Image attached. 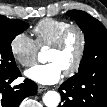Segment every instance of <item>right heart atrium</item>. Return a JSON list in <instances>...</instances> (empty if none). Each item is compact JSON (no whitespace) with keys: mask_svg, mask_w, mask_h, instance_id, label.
I'll use <instances>...</instances> for the list:
<instances>
[{"mask_svg":"<svg viewBox=\"0 0 107 107\" xmlns=\"http://www.w3.org/2000/svg\"><path fill=\"white\" fill-rule=\"evenodd\" d=\"M10 50L14 59L24 67L33 65L37 60L38 45L27 33L15 35L10 42Z\"/></svg>","mask_w":107,"mask_h":107,"instance_id":"d8ad5b80","label":"right heart atrium"}]
</instances>
